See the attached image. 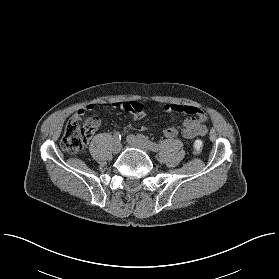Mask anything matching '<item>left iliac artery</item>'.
I'll return each instance as SVG.
<instances>
[{
  "label": "left iliac artery",
  "mask_w": 279,
  "mask_h": 279,
  "mask_svg": "<svg viewBox=\"0 0 279 279\" xmlns=\"http://www.w3.org/2000/svg\"><path fill=\"white\" fill-rule=\"evenodd\" d=\"M138 137L141 139L142 142H144L148 148L154 152H157L159 150V145L155 142H151L148 140L144 135L139 134Z\"/></svg>",
  "instance_id": "obj_1"
}]
</instances>
